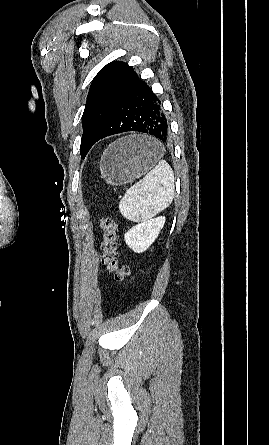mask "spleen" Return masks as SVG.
I'll return each instance as SVG.
<instances>
[{
	"mask_svg": "<svg viewBox=\"0 0 269 445\" xmlns=\"http://www.w3.org/2000/svg\"><path fill=\"white\" fill-rule=\"evenodd\" d=\"M174 197V173L165 160L131 186L119 202L120 213L128 220L144 222L167 208Z\"/></svg>",
	"mask_w": 269,
	"mask_h": 445,
	"instance_id": "obj_1",
	"label": "spleen"
}]
</instances>
